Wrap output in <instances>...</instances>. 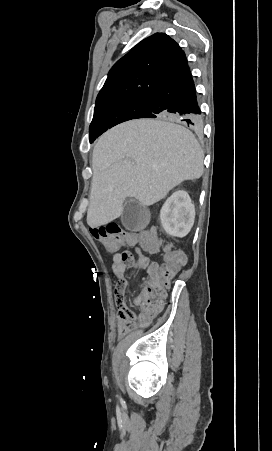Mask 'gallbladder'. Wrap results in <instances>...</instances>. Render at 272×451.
<instances>
[{"label":"gallbladder","mask_w":272,"mask_h":451,"mask_svg":"<svg viewBox=\"0 0 272 451\" xmlns=\"http://www.w3.org/2000/svg\"><path fill=\"white\" fill-rule=\"evenodd\" d=\"M121 220L126 229L138 231V229H144L149 224V212L146 206H142L140 202L130 198L124 204Z\"/></svg>","instance_id":"bac80fb5"}]
</instances>
